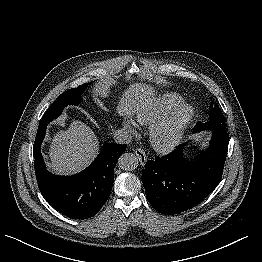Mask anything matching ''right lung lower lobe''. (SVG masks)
<instances>
[{
  "label": "right lung lower lobe",
  "instance_id": "1",
  "mask_svg": "<svg viewBox=\"0 0 262 262\" xmlns=\"http://www.w3.org/2000/svg\"><path fill=\"white\" fill-rule=\"evenodd\" d=\"M51 120H41L33 146L36 178L41 194L53 208L75 219L98 213L107 201L114 182V167L127 145L106 143L93 163L81 173L63 177L45 167L40 145Z\"/></svg>",
  "mask_w": 262,
  "mask_h": 262
}]
</instances>
